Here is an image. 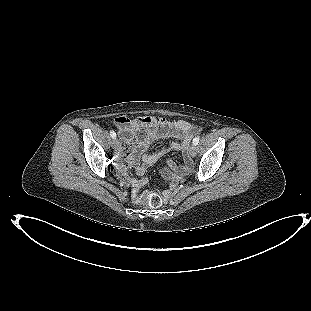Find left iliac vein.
Returning a JSON list of instances; mask_svg holds the SVG:
<instances>
[{"instance_id":"left-iliac-vein-1","label":"left iliac vein","mask_w":311,"mask_h":311,"mask_svg":"<svg viewBox=\"0 0 311 311\" xmlns=\"http://www.w3.org/2000/svg\"><path fill=\"white\" fill-rule=\"evenodd\" d=\"M188 152L192 157H195L197 149H196V145L191 144L188 148Z\"/></svg>"}]
</instances>
